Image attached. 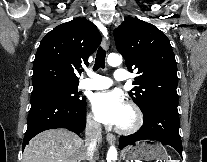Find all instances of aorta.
Listing matches in <instances>:
<instances>
[{"label": "aorta", "mask_w": 207, "mask_h": 162, "mask_svg": "<svg viewBox=\"0 0 207 162\" xmlns=\"http://www.w3.org/2000/svg\"><path fill=\"white\" fill-rule=\"evenodd\" d=\"M107 62L110 66H119L122 63V57L118 54H110L108 56ZM117 149L115 146H110L108 152H107V162H114L117 160Z\"/></svg>", "instance_id": "aorta-1"}]
</instances>
